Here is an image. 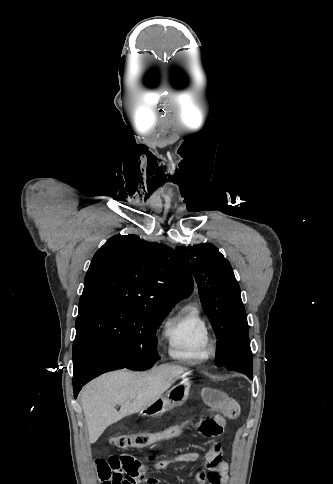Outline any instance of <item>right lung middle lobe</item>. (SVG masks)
<instances>
[{"label": "right lung middle lobe", "mask_w": 333, "mask_h": 484, "mask_svg": "<svg viewBox=\"0 0 333 484\" xmlns=\"http://www.w3.org/2000/svg\"><path fill=\"white\" fill-rule=\"evenodd\" d=\"M166 314L167 311L128 305L79 306L73 361L80 358L81 348L92 342L111 350L126 368L151 367L159 360L155 333Z\"/></svg>", "instance_id": "right-lung-middle-lobe-1"}]
</instances>
